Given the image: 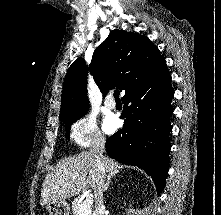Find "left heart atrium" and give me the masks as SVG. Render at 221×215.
<instances>
[{
    "label": "left heart atrium",
    "instance_id": "obj_1",
    "mask_svg": "<svg viewBox=\"0 0 221 215\" xmlns=\"http://www.w3.org/2000/svg\"><path fill=\"white\" fill-rule=\"evenodd\" d=\"M104 127L106 131H113L118 127V120L114 117H109L106 119Z\"/></svg>",
    "mask_w": 221,
    "mask_h": 215
}]
</instances>
